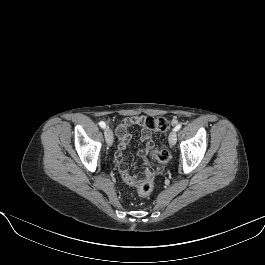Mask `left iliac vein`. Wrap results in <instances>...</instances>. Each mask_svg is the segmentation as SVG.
Returning <instances> with one entry per match:
<instances>
[{"mask_svg": "<svg viewBox=\"0 0 265 265\" xmlns=\"http://www.w3.org/2000/svg\"><path fill=\"white\" fill-rule=\"evenodd\" d=\"M168 141H169V144L171 146H174L176 144V141H177V133L175 130L171 131L170 134H169V137H168Z\"/></svg>", "mask_w": 265, "mask_h": 265, "instance_id": "4c4485c4", "label": "left iliac vein"}]
</instances>
